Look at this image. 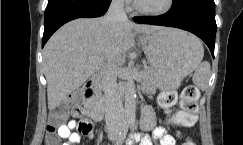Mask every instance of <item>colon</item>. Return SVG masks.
<instances>
[{
	"label": "colon",
	"instance_id": "1",
	"mask_svg": "<svg viewBox=\"0 0 243 145\" xmlns=\"http://www.w3.org/2000/svg\"><path fill=\"white\" fill-rule=\"evenodd\" d=\"M199 90L193 85L186 86L180 95V110L172 117V122L182 127H191L195 124L197 101ZM77 96L69 95L65 101L58 104L49 116V123L46 130V145H62L59 141L58 129L63 121L70 114L73 117L80 118L83 114L82 108L78 105ZM176 102V94L173 91L165 92L160 96L159 103L162 108L170 109ZM78 129L82 134H88L92 131V123L86 119L79 121ZM183 145H195L188 141Z\"/></svg>",
	"mask_w": 243,
	"mask_h": 145
}]
</instances>
